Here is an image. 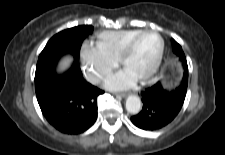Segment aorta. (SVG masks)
Here are the masks:
<instances>
[{"mask_svg": "<svg viewBox=\"0 0 225 155\" xmlns=\"http://www.w3.org/2000/svg\"><path fill=\"white\" fill-rule=\"evenodd\" d=\"M126 110L131 114H137L141 110V100L138 96L130 95L126 99Z\"/></svg>", "mask_w": 225, "mask_h": 155, "instance_id": "762f6f07", "label": "aorta"}]
</instances>
